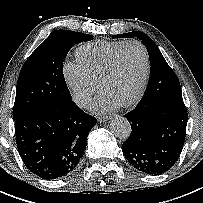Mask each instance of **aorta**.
<instances>
[{"label": "aorta", "mask_w": 203, "mask_h": 203, "mask_svg": "<svg viewBox=\"0 0 203 203\" xmlns=\"http://www.w3.org/2000/svg\"><path fill=\"white\" fill-rule=\"evenodd\" d=\"M110 129L120 139L128 138L132 131L130 122L122 116H117L111 121Z\"/></svg>", "instance_id": "762f6f07"}]
</instances>
